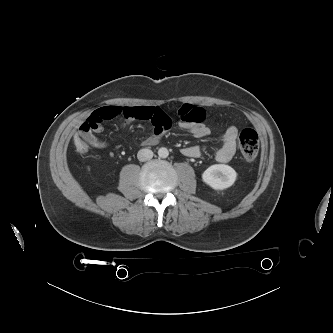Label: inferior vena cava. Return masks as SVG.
Masks as SVG:
<instances>
[{"instance_id":"1","label":"inferior vena cava","mask_w":333,"mask_h":333,"mask_svg":"<svg viewBox=\"0 0 333 333\" xmlns=\"http://www.w3.org/2000/svg\"><path fill=\"white\" fill-rule=\"evenodd\" d=\"M153 157V152L150 149H141L138 151L137 158L139 161L144 162Z\"/></svg>"}]
</instances>
